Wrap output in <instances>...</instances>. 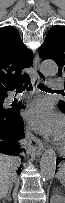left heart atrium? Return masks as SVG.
Segmentation results:
<instances>
[{
    "label": "left heart atrium",
    "instance_id": "obj_1",
    "mask_svg": "<svg viewBox=\"0 0 65 203\" xmlns=\"http://www.w3.org/2000/svg\"><path fill=\"white\" fill-rule=\"evenodd\" d=\"M24 117L28 126L34 131L56 139L63 136L64 119L62 115L55 113L47 102L34 103L25 112Z\"/></svg>",
    "mask_w": 65,
    "mask_h": 203
}]
</instances>
